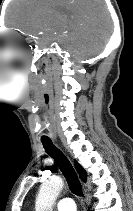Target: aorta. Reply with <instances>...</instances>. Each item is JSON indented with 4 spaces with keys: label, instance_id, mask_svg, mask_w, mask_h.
Returning <instances> with one entry per match:
<instances>
[{
    "label": "aorta",
    "instance_id": "762f6f07",
    "mask_svg": "<svg viewBox=\"0 0 133 211\" xmlns=\"http://www.w3.org/2000/svg\"><path fill=\"white\" fill-rule=\"evenodd\" d=\"M63 181L59 177H52L44 182L36 198V211H52L56 198L63 188Z\"/></svg>",
    "mask_w": 133,
    "mask_h": 211
}]
</instances>
